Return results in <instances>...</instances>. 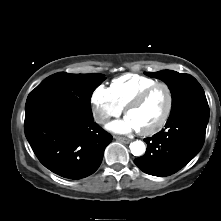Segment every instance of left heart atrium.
<instances>
[{"mask_svg": "<svg viewBox=\"0 0 221 221\" xmlns=\"http://www.w3.org/2000/svg\"><path fill=\"white\" fill-rule=\"evenodd\" d=\"M108 128L117 133H129L131 131L138 130L129 118L112 122L108 125Z\"/></svg>", "mask_w": 221, "mask_h": 221, "instance_id": "39dd6f15", "label": "left heart atrium"}]
</instances>
